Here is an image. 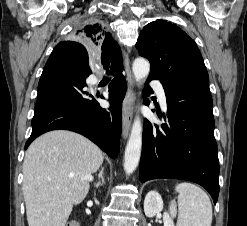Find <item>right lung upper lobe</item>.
I'll return each mask as SVG.
<instances>
[{"label":"right lung upper lobe","instance_id":"right-lung-upper-lobe-1","mask_svg":"<svg viewBox=\"0 0 247 226\" xmlns=\"http://www.w3.org/2000/svg\"><path fill=\"white\" fill-rule=\"evenodd\" d=\"M74 37L87 45L101 47V59L106 70L123 68L120 47L102 23L93 22L83 26L75 32Z\"/></svg>","mask_w":247,"mask_h":226}]
</instances>
